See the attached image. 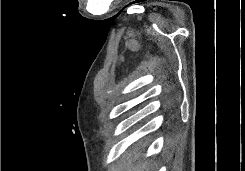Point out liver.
<instances>
[{
    "label": "liver",
    "instance_id": "6515ba94",
    "mask_svg": "<svg viewBox=\"0 0 245 171\" xmlns=\"http://www.w3.org/2000/svg\"><path fill=\"white\" fill-rule=\"evenodd\" d=\"M138 157L135 155L132 159H127V164L124 171H148V165L146 162H136Z\"/></svg>",
    "mask_w": 245,
    "mask_h": 171
}]
</instances>
